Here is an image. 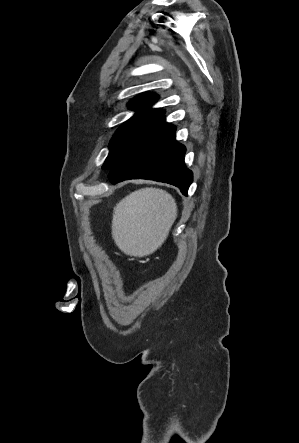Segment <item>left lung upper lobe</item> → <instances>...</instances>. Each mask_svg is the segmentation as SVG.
<instances>
[{"instance_id": "1", "label": "left lung upper lobe", "mask_w": 299, "mask_h": 443, "mask_svg": "<svg viewBox=\"0 0 299 443\" xmlns=\"http://www.w3.org/2000/svg\"><path fill=\"white\" fill-rule=\"evenodd\" d=\"M157 99L156 94L147 92L129 102V107L137 110V113L122 124L114 134L110 142L109 155L102 166L103 169H111L126 151L164 116V110L151 108Z\"/></svg>"}]
</instances>
